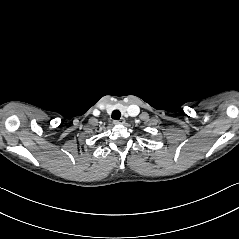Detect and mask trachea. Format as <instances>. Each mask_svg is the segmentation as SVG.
I'll list each match as a JSON object with an SVG mask.
<instances>
[{"label": "trachea", "instance_id": "1", "mask_svg": "<svg viewBox=\"0 0 239 239\" xmlns=\"http://www.w3.org/2000/svg\"><path fill=\"white\" fill-rule=\"evenodd\" d=\"M120 117H121V113H120L119 110H114V111L112 112V119L118 120V119H120Z\"/></svg>", "mask_w": 239, "mask_h": 239}]
</instances>
